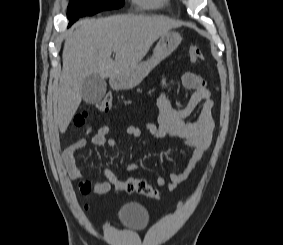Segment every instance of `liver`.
Listing matches in <instances>:
<instances>
[{
  "instance_id": "obj_1",
  "label": "liver",
  "mask_w": 283,
  "mask_h": 245,
  "mask_svg": "<svg viewBox=\"0 0 283 245\" xmlns=\"http://www.w3.org/2000/svg\"><path fill=\"white\" fill-rule=\"evenodd\" d=\"M69 33L63 48V68L55 117L64 133L82 99V84L91 74L114 77L134 68L153 43L179 23L156 17L117 15L85 19ZM115 52V60L111 58Z\"/></svg>"
}]
</instances>
